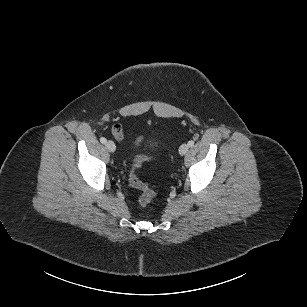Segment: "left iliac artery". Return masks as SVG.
I'll return each instance as SVG.
<instances>
[{"mask_svg":"<svg viewBox=\"0 0 307 307\" xmlns=\"http://www.w3.org/2000/svg\"><path fill=\"white\" fill-rule=\"evenodd\" d=\"M188 146H189V147H193V146H194V141H193V140H190V141L188 142Z\"/></svg>","mask_w":307,"mask_h":307,"instance_id":"44dca946","label":"left iliac artery"}]
</instances>
